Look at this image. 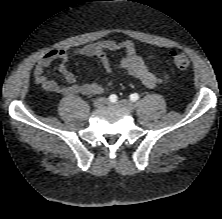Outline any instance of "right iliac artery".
I'll use <instances>...</instances> for the list:
<instances>
[{
	"instance_id": "right-iliac-artery-1",
	"label": "right iliac artery",
	"mask_w": 222,
	"mask_h": 219,
	"mask_svg": "<svg viewBox=\"0 0 222 219\" xmlns=\"http://www.w3.org/2000/svg\"><path fill=\"white\" fill-rule=\"evenodd\" d=\"M110 102L115 103L117 101V96L115 94L110 95L109 97Z\"/></svg>"
}]
</instances>
